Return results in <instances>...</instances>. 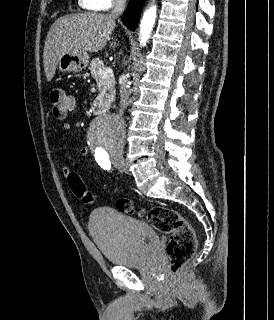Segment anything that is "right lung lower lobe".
<instances>
[{"label":"right lung lower lobe","mask_w":274,"mask_h":320,"mask_svg":"<svg viewBox=\"0 0 274 320\" xmlns=\"http://www.w3.org/2000/svg\"><path fill=\"white\" fill-rule=\"evenodd\" d=\"M144 0H130L128 6L122 15V22L130 30H134L139 22L141 15V8Z\"/></svg>","instance_id":"right-lung-lower-lobe-1"}]
</instances>
